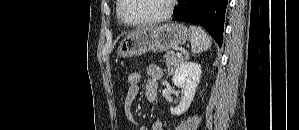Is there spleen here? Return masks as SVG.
I'll return each instance as SVG.
<instances>
[{
    "instance_id": "obj_1",
    "label": "spleen",
    "mask_w": 299,
    "mask_h": 130,
    "mask_svg": "<svg viewBox=\"0 0 299 130\" xmlns=\"http://www.w3.org/2000/svg\"><path fill=\"white\" fill-rule=\"evenodd\" d=\"M190 31V43L193 54H199L211 47V38L200 27L191 25Z\"/></svg>"
}]
</instances>
